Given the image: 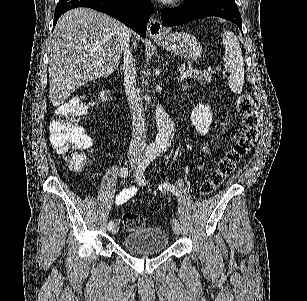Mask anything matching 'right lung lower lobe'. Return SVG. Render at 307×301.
Here are the masks:
<instances>
[{
  "instance_id": "1",
  "label": "right lung lower lobe",
  "mask_w": 307,
  "mask_h": 301,
  "mask_svg": "<svg viewBox=\"0 0 307 301\" xmlns=\"http://www.w3.org/2000/svg\"><path fill=\"white\" fill-rule=\"evenodd\" d=\"M76 7H89L106 13L142 37L146 36L147 21L154 10L153 4L148 0H59L55 9L53 28L63 13Z\"/></svg>"
}]
</instances>
